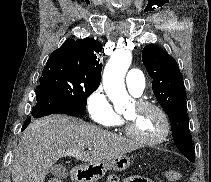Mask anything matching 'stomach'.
Wrapping results in <instances>:
<instances>
[{
  "label": "stomach",
  "mask_w": 211,
  "mask_h": 182,
  "mask_svg": "<svg viewBox=\"0 0 211 182\" xmlns=\"http://www.w3.org/2000/svg\"><path fill=\"white\" fill-rule=\"evenodd\" d=\"M130 166V158L121 155L113 159L92 162L77 167L72 173L74 182H97L108 170L123 171Z\"/></svg>",
  "instance_id": "0dacf381"
}]
</instances>
